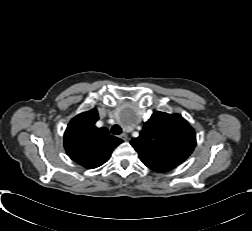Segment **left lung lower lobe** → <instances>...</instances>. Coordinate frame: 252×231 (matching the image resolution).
<instances>
[{
  "instance_id": "0a47b994",
  "label": "left lung lower lobe",
  "mask_w": 252,
  "mask_h": 231,
  "mask_svg": "<svg viewBox=\"0 0 252 231\" xmlns=\"http://www.w3.org/2000/svg\"><path fill=\"white\" fill-rule=\"evenodd\" d=\"M175 167H171V166H165V165H159V166H154L151 167L150 169L156 171V172H167L172 170Z\"/></svg>"
}]
</instances>
